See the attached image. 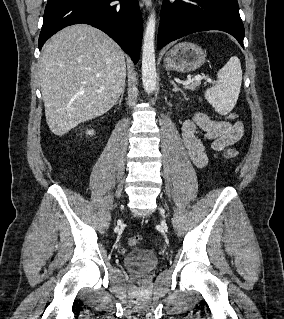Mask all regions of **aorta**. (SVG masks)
I'll use <instances>...</instances> for the list:
<instances>
[{
  "label": "aorta",
  "mask_w": 284,
  "mask_h": 319,
  "mask_svg": "<svg viewBox=\"0 0 284 319\" xmlns=\"http://www.w3.org/2000/svg\"><path fill=\"white\" fill-rule=\"evenodd\" d=\"M156 16L153 11L148 17L142 45V82L144 90L151 94L156 88L157 72L155 60Z\"/></svg>",
  "instance_id": "obj_1"
}]
</instances>
